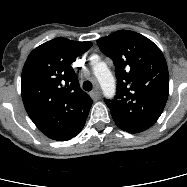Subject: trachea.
I'll use <instances>...</instances> for the list:
<instances>
[{
    "instance_id": "3493384b",
    "label": "trachea",
    "mask_w": 187,
    "mask_h": 187,
    "mask_svg": "<svg viewBox=\"0 0 187 187\" xmlns=\"http://www.w3.org/2000/svg\"><path fill=\"white\" fill-rule=\"evenodd\" d=\"M83 89L85 91H91L92 90V83L90 81H85L83 83Z\"/></svg>"
}]
</instances>
